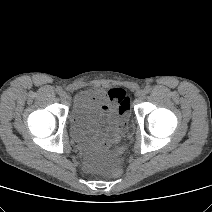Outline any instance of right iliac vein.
I'll return each instance as SVG.
<instances>
[{
  "instance_id": "right-iliac-vein-1",
  "label": "right iliac vein",
  "mask_w": 212,
  "mask_h": 212,
  "mask_svg": "<svg viewBox=\"0 0 212 212\" xmlns=\"http://www.w3.org/2000/svg\"><path fill=\"white\" fill-rule=\"evenodd\" d=\"M60 98L63 100V101H66L68 99V95L65 91H61L60 93Z\"/></svg>"
}]
</instances>
